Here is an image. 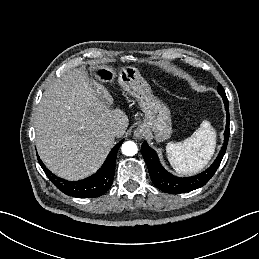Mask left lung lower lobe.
Instances as JSON below:
<instances>
[{
  "instance_id": "0a47b994",
  "label": "left lung lower lobe",
  "mask_w": 259,
  "mask_h": 259,
  "mask_svg": "<svg viewBox=\"0 0 259 259\" xmlns=\"http://www.w3.org/2000/svg\"><path fill=\"white\" fill-rule=\"evenodd\" d=\"M221 96L223 98L226 113H227L226 130L224 132L225 139L216 160L204 172L192 177H185V178L176 177L170 174L162 167V165L158 160L156 152L152 148H150L146 142H143L141 153L147 164L151 180L158 189L166 193H172V194L185 193L204 186L214 175L226 152V147L228 144L229 134H230L229 103H228L226 94H222Z\"/></svg>"
}]
</instances>
